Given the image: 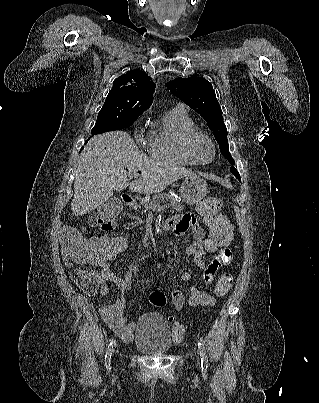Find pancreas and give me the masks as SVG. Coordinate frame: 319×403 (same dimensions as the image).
<instances>
[{
	"mask_svg": "<svg viewBox=\"0 0 319 403\" xmlns=\"http://www.w3.org/2000/svg\"><path fill=\"white\" fill-rule=\"evenodd\" d=\"M169 202L172 209L178 212L183 210V205L176 199H174L170 194L162 193L157 194L152 199L144 203V212L154 210L156 206H160L161 203Z\"/></svg>",
	"mask_w": 319,
	"mask_h": 403,
	"instance_id": "pancreas-1",
	"label": "pancreas"
}]
</instances>
